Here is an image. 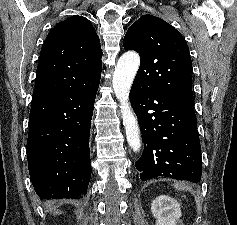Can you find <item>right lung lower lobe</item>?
<instances>
[{
  "mask_svg": "<svg viewBox=\"0 0 237 225\" xmlns=\"http://www.w3.org/2000/svg\"><path fill=\"white\" fill-rule=\"evenodd\" d=\"M99 80L58 97L32 100L28 168L41 199L81 198L91 177L89 135Z\"/></svg>",
  "mask_w": 237,
  "mask_h": 225,
  "instance_id": "obj_1",
  "label": "right lung lower lobe"
}]
</instances>
